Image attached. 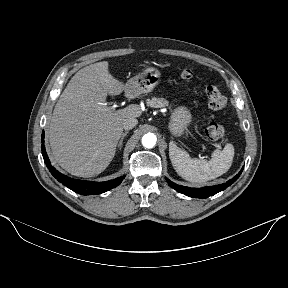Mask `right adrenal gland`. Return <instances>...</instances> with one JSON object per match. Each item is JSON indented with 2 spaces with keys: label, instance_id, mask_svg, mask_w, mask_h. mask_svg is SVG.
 Segmentation results:
<instances>
[{
  "label": "right adrenal gland",
  "instance_id": "1",
  "mask_svg": "<svg viewBox=\"0 0 288 288\" xmlns=\"http://www.w3.org/2000/svg\"><path fill=\"white\" fill-rule=\"evenodd\" d=\"M127 134H128V131H125L124 133H122V136H121V138L119 140V143H118V149L119 150H121L122 144H123V140H124V138L126 137Z\"/></svg>",
  "mask_w": 288,
  "mask_h": 288
}]
</instances>
